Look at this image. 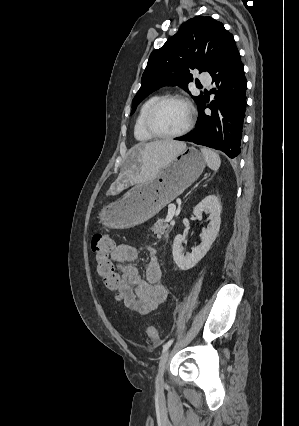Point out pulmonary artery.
<instances>
[{
  "label": "pulmonary artery",
  "mask_w": 299,
  "mask_h": 426,
  "mask_svg": "<svg viewBox=\"0 0 299 426\" xmlns=\"http://www.w3.org/2000/svg\"><path fill=\"white\" fill-rule=\"evenodd\" d=\"M201 81L205 84V85H210L211 82V78L208 75H203L201 76Z\"/></svg>",
  "instance_id": "obj_1"
}]
</instances>
